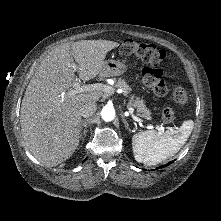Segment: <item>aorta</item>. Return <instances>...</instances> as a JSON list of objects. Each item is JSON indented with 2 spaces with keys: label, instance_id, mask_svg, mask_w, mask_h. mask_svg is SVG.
<instances>
[{
  "label": "aorta",
  "instance_id": "obj_1",
  "mask_svg": "<svg viewBox=\"0 0 221 221\" xmlns=\"http://www.w3.org/2000/svg\"><path fill=\"white\" fill-rule=\"evenodd\" d=\"M101 117L104 121H112L115 117V110L112 106H105L101 111Z\"/></svg>",
  "mask_w": 221,
  "mask_h": 221
}]
</instances>
